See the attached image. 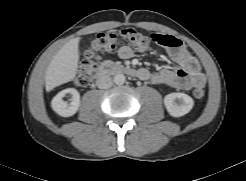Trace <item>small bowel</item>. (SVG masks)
<instances>
[{
	"mask_svg": "<svg viewBox=\"0 0 246 181\" xmlns=\"http://www.w3.org/2000/svg\"><path fill=\"white\" fill-rule=\"evenodd\" d=\"M166 53L178 65L177 69L162 68L159 71H150L141 68L139 78L154 84L185 90L193 86H205L206 78L201 72L199 62L186 50L182 41L178 48H166ZM118 55L122 59H130L134 52L130 46L125 45L118 50Z\"/></svg>",
	"mask_w": 246,
	"mask_h": 181,
	"instance_id": "obj_1",
	"label": "small bowel"
}]
</instances>
